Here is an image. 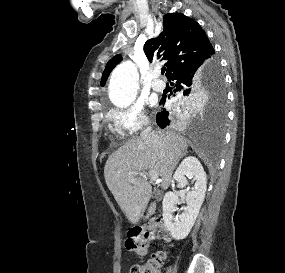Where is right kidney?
Listing matches in <instances>:
<instances>
[{
	"mask_svg": "<svg viewBox=\"0 0 285 273\" xmlns=\"http://www.w3.org/2000/svg\"><path fill=\"white\" fill-rule=\"evenodd\" d=\"M173 178L181 188H185L188 179H193L191 191L186 195L187 206L178 219L174 217L176 205L180 203L175 192L165 194L163 207V220L165 227L175 240H182L188 236L199 214L206 193V173L199 160L193 156L186 157L177 168Z\"/></svg>",
	"mask_w": 285,
	"mask_h": 273,
	"instance_id": "1",
	"label": "right kidney"
}]
</instances>
